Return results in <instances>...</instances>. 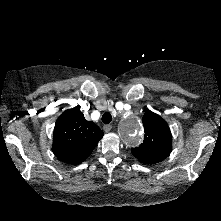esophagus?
<instances>
[{
    "instance_id": "34e87169",
    "label": "esophagus",
    "mask_w": 221,
    "mask_h": 221,
    "mask_svg": "<svg viewBox=\"0 0 221 221\" xmlns=\"http://www.w3.org/2000/svg\"><path fill=\"white\" fill-rule=\"evenodd\" d=\"M103 129H104L105 132H109V131L112 129V125H110V124H105V125L103 126Z\"/></svg>"
}]
</instances>
